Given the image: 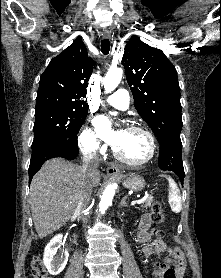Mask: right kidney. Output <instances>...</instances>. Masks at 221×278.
Returning a JSON list of instances; mask_svg holds the SVG:
<instances>
[{
  "label": "right kidney",
  "instance_id": "obj_1",
  "mask_svg": "<svg viewBox=\"0 0 221 278\" xmlns=\"http://www.w3.org/2000/svg\"><path fill=\"white\" fill-rule=\"evenodd\" d=\"M62 238L61 234L56 235L44 250L43 263L51 275L60 274L68 261L69 253L64 247L62 248Z\"/></svg>",
  "mask_w": 221,
  "mask_h": 278
}]
</instances>
